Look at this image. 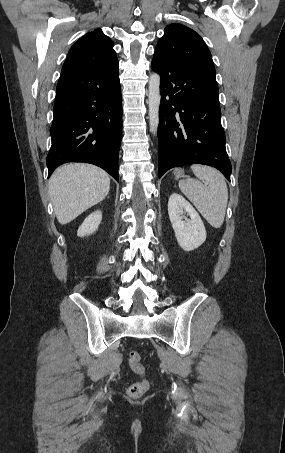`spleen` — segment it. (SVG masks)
Listing matches in <instances>:
<instances>
[{
  "label": "spleen",
  "mask_w": 285,
  "mask_h": 453,
  "mask_svg": "<svg viewBox=\"0 0 285 453\" xmlns=\"http://www.w3.org/2000/svg\"><path fill=\"white\" fill-rule=\"evenodd\" d=\"M191 170L198 179L180 180L179 188L211 226L220 228L228 202L225 178L209 166L196 164L191 166Z\"/></svg>",
  "instance_id": "spleen-1"
}]
</instances>
